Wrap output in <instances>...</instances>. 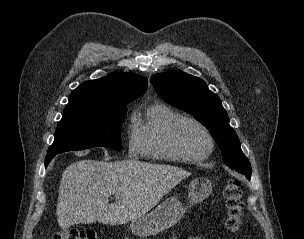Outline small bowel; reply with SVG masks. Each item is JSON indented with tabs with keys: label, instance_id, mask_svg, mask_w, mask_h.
Segmentation results:
<instances>
[{
	"label": "small bowel",
	"instance_id": "c3829d8e",
	"mask_svg": "<svg viewBox=\"0 0 304 239\" xmlns=\"http://www.w3.org/2000/svg\"><path fill=\"white\" fill-rule=\"evenodd\" d=\"M189 239H201V238H200V237L195 236V237H190Z\"/></svg>",
	"mask_w": 304,
	"mask_h": 239
}]
</instances>
